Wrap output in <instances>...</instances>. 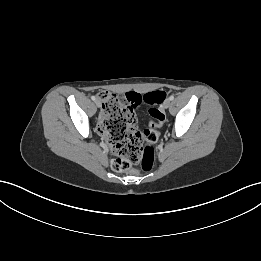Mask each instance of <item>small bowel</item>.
I'll list each match as a JSON object with an SVG mask.
<instances>
[{
    "label": "small bowel",
    "mask_w": 261,
    "mask_h": 261,
    "mask_svg": "<svg viewBox=\"0 0 261 261\" xmlns=\"http://www.w3.org/2000/svg\"><path fill=\"white\" fill-rule=\"evenodd\" d=\"M130 94V93H129ZM127 94L126 97L129 95ZM102 115H103V112H102ZM133 118H134V123H135V110L133 111Z\"/></svg>",
    "instance_id": "c3829d8e"
}]
</instances>
